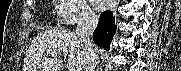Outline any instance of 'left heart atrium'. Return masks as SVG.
Segmentation results:
<instances>
[{"label":"left heart atrium","instance_id":"obj_1","mask_svg":"<svg viewBox=\"0 0 181 71\" xmlns=\"http://www.w3.org/2000/svg\"><path fill=\"white\" fill-rule=\"evenodd\" d=\"M105 3H106V1H101L100 6H104Z\"/></svg>","mask_w":181,"mask_h":71}]
</instances>
